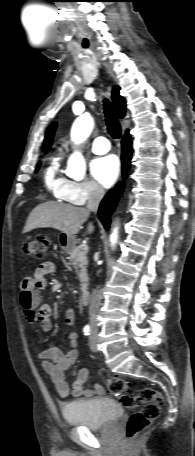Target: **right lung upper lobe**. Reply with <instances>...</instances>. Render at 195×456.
I'll list each match as a JSON object with an SVG mask.
<instances>
[{
    "mask_svg": "<svg viewBox=\"0 0 195 456\" xmlns=\"http://www.w3.org/2000/svg\"><path fill=\"white\" fill-rule=\"evenodd\" d=\"M119 90H120V88L118 86L113 87L112 100H113L117 115L120 118H123L126 113V102H125V99L119 95ZM55 129H56V123H53L46 132V136H45L44 143H43L44 152H47L52 144V139H53Z\"/></svg>",
    "mask_w": 195,
    "mask_h": 456,
    "instance_id": "right-lung-upper-lobe-1",
    "label": "right lung upper lobe"
}]
</instances>
